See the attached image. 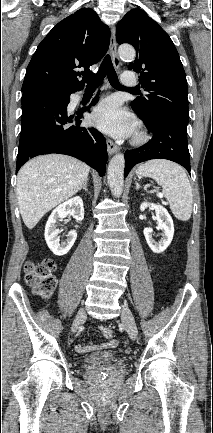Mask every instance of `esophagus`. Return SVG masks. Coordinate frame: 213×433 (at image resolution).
<instances>
[{"label":"esophagus","mask_w":213,"mask_h":433,"mask_svg":"<svg viewBox=\"0 0 213 433\" xmlns=\"http://www.w3.org/2000/svg\"><path fill=\"white\" fill-rule=\"evenodd\" d=\"M115 26L111 29V38H110V55L113 61L115 68L120 66V60L117 55V43L115 37ZM107 151L110 155L119 151V147L110 139L107 140Z\"/></svg>","instance_id":"1"}]
</instances>
